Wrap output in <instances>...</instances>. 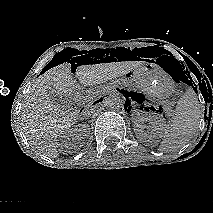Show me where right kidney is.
<instances>
[{
	"mask_svg": "<svg viewBox=\"0 0 213 213\" xmlns=\"http://www.w3.org/2000/svg\"><path fill=\"white\" fill-rule=\"evenodd\" d=\"M80 132H85V133L79 134ZM87 136H88L87 128L85 125H83V126H79V127L70 129L68 132H66L61 137L63 139H78V138H84Z\"/></svg>",
	"mask_w": 213,
	"mask_h": 213,
	"instance_id": "ca27d5eb",
	"label": "right kidney"
}]
</instances>
